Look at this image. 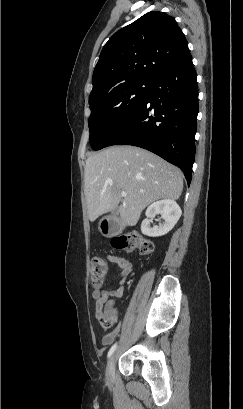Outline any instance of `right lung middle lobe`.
Masks as SVG:
<instances>
[{
	"label": "right lung middle lobe",
	"mask_w": 243,
	"mask_h": 409,
	"mask_svg": "<svg viewBox=\"0 0 243 409\" xmlns=\"http://www.w3.org/2000/svg\"><path fill=\"white\" fill-rule=\"evenodd\" d=\"M151 86V83H129L90 104L88 125L92 149L107 147L116 132L143 104Z\"/></svg>",
	"instance_id": "right-lung-middle-lobe-1"
}]
</instances>
